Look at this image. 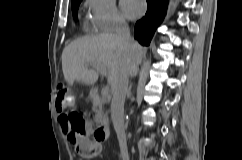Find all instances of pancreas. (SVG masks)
<instances>
[{
	"label": "pancreas",
	"mask_w": 242,
	"mask_h": 160,
	"mask_svg": "<svg viewBox=\"0 0 242 160\" xmlns=\"http://www.w3.org/2000/svg\"><path fill=\"white\" fill-rule=\"evenodd\" d=\"M94 111L96 112V114H95V122L97 124L108 123V117H107V115L103 114L101 109L94 108Z\"/></svg>",
	"instance_id": "obj_1"
}]
</instances>
